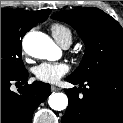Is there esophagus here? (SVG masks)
<instances>
[{
  "instance_id": "obj_1",
  "label": "esophagus",
  "mask_w": 123,
  "mask_h": 123,
  "mask_svg": "<svg viewBox=\"0 0 123 123\" xmlns=\"http://www.w3.org/2000/svg\"><path fill=\"white\" fill-rule=\"evenodd\" d=\"M50 89L52 92L59 90V88L57 86H54V85H52Z\"/></svg>"
}]
</instances>
